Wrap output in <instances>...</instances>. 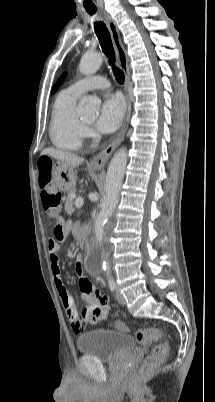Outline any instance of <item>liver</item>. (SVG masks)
<instances>
[{"instance_id": "liver-1", "label": "liver", "mask_w": 215, "mask_h": 402, "mask_svg": "<svg viewBox=\"0 0 215 402\" xmlns=\"http://www.w3.org/2000/svg\"><path fill=\"white\" fill-rule=\"evenodd\" d=\"M41 155H49L72 168L78 167L84 162L82 157L54 148L44 149Z\"/></svg>"}]
</instances>
